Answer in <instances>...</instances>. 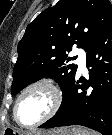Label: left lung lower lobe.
<instances>
[{"instance_id":"1","label":"left lung lower lobe","mask_w":112,"mask_h":135,"mask_svg":"<svg viewBox=\"0 0 112 135\" xmlns=\"http://www.w3.org/2000/svg\"><path fill=\"white\" fill-rule=\"evenodd\" d=\"M87 69L89 79L74 76L57 113L39 128L81 125L112 135V23L87 50Z\"/></svg>"}]
</instances>
